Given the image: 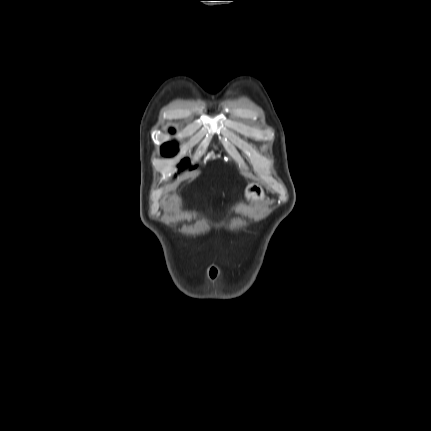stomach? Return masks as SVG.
<instances>
[{"label":"stomach","mask_w":431,"mask_h":431,"mask_svg":"<svg viewBox=\"0 0 431 431\" xmlns=\"http://www.w3.org/2000/svg\"><path fill=\"white\" fill-rule=\"evenodd\" d=\"M245 197L251 202H261L265 199V192L260 185L251 183L245 189Z\"/></svg>","instance_id":"obj_1"}]
</instances>
